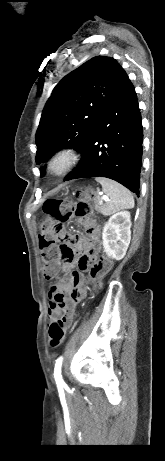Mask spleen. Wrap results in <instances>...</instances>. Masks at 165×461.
Here are the masks:
<instances>
[{
    "instance_id": "spleen-1",
    "label": "spleen",
    "mask_w": 165,
    "mask_h": 461,
    "mask_svg": "<svg viewBox=\"0 0 165 461\" xmlns=\"http://www.w3.org/2000/svg\"><path fill=\"white\" fill-rule=\"evenodd\" d=\"M96 181L102 185L104 193L109 197V201L102 206L101 212L104 215L134 207V198L127 188L107 178L98 177Z\"/></svg>"
}]
</instances>
